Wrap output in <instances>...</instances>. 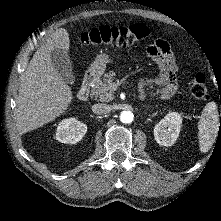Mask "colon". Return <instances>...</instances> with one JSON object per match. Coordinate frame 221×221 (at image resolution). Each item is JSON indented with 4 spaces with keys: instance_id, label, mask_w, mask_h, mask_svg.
Here are the masks:
<instances>
[{
    "instance_id": "obj_1",
    "label": "colon",
    "mask_w": 221,
    "mask_h": 221,
    "mask_svg": "<svg viewBox=\"0 0 221 221\" xmlns=\"http://www.w3.org/2000/svg\"><path fill=\"white\" fill-rule=\"evenodd\" d=\"M150 35V30L144 24L130 26H101L85 31L80 35V43L84 45H106L114 48L131 46ZM191 94L198 99L208 95L206 80L203 74L197 73L190 83Z\"/></svg>"
}]
</instances>
